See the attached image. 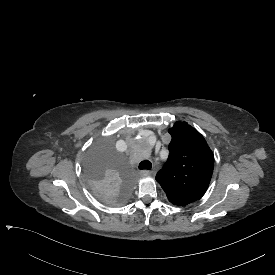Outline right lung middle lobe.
<instances>
[{"mask_svg":"<svg viewBox=\"0 0 275 275\" xmlns=\"http://www.w3.org/2000/svg\"><path fill=\"white\" fill-rule=\"evenodd\" d=\"M84 174L94 197L107 207L127 201L136 184V172L107 136L95 139L87 151Z\"/></svg>","mask_w":275,"mask_h":275,"instance_id":"dd1d6c3e","label":"right lung middle lobe"}]
</instances>
